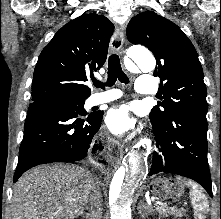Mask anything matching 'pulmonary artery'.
I'll use <instances>...</instances> for the list:
<instances>
[{
	"label": "pulmonary artery",
	"instance_id": "1",
	"mask_svg": "<svg viewBox=\"0 0 221 219\" xmlns=\"http://www.w3.org/2000/svg\"><path fill=\"white\" fill-rule=\"evenodd\" d=\"M158 83L152 75L142 74L138 77L136 84V91L145 94L151 95L157 91ZM122 96V93L115 89H110L105 92L95 93L90 98L91 105H97L102 103H107L113 100H116Z\"/></svg>",
	"mask_w": 221,
	"mask_h": 219
}]
</instances>
